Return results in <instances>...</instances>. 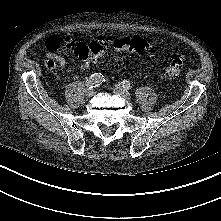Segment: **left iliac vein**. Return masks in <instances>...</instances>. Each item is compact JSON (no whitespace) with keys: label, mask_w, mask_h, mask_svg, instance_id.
Here are the masks:
<instances>
[{"label":"left iliac vein","mask_w":221,"mask_h":221,"mask_svg":"<svg viewBox=\"0 0 221 221\" xmlns=\"http://www.w3.org/2000/svg\"><path fill=\"white\" fill-rule=\"evenodd\" d=\"M114 93L120 95L124 99H129L131 97L130 93L127 91V89L123 88L120 85H117L114 88Z\"/></svg>","instance_id":"1"}]
</instances>
